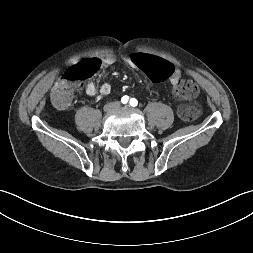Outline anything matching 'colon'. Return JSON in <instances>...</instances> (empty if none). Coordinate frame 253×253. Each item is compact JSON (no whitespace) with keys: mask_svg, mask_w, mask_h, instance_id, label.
<instances>
[{"mask_svg":"<svg viewBox=\"0 0 253 253\" xmlns=\"http://www.w3.org/2000/svg\"><path fill=\"white\" fill-rule=\"evenodd\" d=\"M133 62L140 70H145L153 80L164 78L172 72V65L161 61L153 53L136 52L133 55ZM100 66L98 59H90L70 68L53 87L52 99L54 103L61 108L68 106L73 84L92 77L98 72ZM174 92L179 97L190 99L198 94V87L191 80H181L174 87ZM178 113L182 120L193 121L200 116L201 107L196 103L184 104L180 106Z\"/></svg>","mask_w":253,"mask_h":253,"instance_id":"1","label":"colon"}]
</instances>
